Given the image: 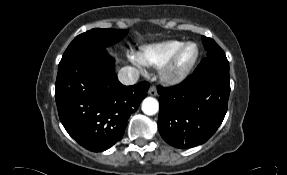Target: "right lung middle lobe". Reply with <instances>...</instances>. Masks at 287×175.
I'll use <instances>...</instances> for the list:
<instances>
[{"instance_id": "1", "label": "right lung middle lobe", "mask_w": 287, "mask_h": 175, "mask_svg": "<svg viewBox=\"0 0 287 175\" xmlns=\"http://www.w3.org/2000/svg\"><path fill=\"white\" fill-rule=\"evenodd\" d=\"M127 34V30L116 29H92L78 35L68 46L61 59L65 61L82 52L102 48L115 44Z\"/></svg>"}]
</instances>
